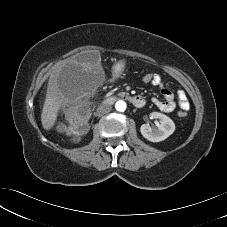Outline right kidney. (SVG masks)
Returning a JSON list of instances; mask_svg holds the SVG:
<instances>
[{"instance_id": "1", "label": "right kidney", "mask_w": 227, "mask_h": 227, "mask_svg": "<svg viewBox=\"0 0 227 227\" xmlns=\"http://www.w3.org/2000/svg\"><path fill=\"white\" fill-rule=\"evenodd\" d=\"M73 141H74V142H79V141H80V137L73 138Z\"/></svg>"}]
</instances>
